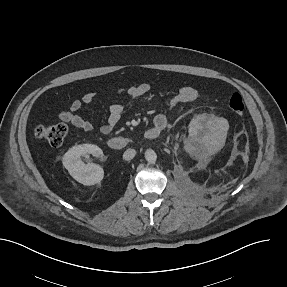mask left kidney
<instances>
[{
    "label": "left kidney",
    "instance_id": "left-kidney-1",
    "mask_svg": "<svg viewBox=\"0 0 287 287\" xmlns=\"http://www.w3.org/2000/svg\"><path fill=\"white\" fill-rule=\"evenodd\" d=\"M199 135V125L196 120H192L189 125V136L190 138H195ZM222 137H219V140H222Z\"/></svg>",
    "mask_w": 287,
    "mask_h": 287
}]
</instances>
